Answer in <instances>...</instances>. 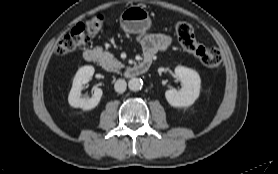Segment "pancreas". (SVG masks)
<instances>
[{
    "mask_svg": "<svg viewBox=\"0 0 278 174\" xmlns=\"http://www.w3.org/2000/svg\"><path fill=\"white\" fill-rule=\"evenodd\" d=\"M100 64L107 71H114V72H117L124 67V65L121 62H119L111 53L107 51L103 52L101 50H100Z\"/></svg>",
    "mask_w": 278,
    "mask_h": 174,
    "instance_id": "obj_1",
    "label": "pancreas"
}]
</instances>
